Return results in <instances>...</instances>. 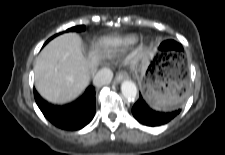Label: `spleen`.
I'll return each mask as SVG.
<instances>
[{
  "label": "spleen",
  "mask_w": 225,
  "mask_h": 155,
  "mask_svg": "<svg viewBox=\"0 0 225 155\" xmlns=\"http://www.w3.org/2000/svg\"><path fill=\"white\" fill-rule=\"evenodd\" d=\"M156 110H160V108L159 107H154ZM164 111H167V110H169L168 108H164L163 109Z\"/></svg>",
  "instance_id": "1"
}]
</instances>
